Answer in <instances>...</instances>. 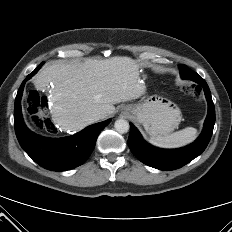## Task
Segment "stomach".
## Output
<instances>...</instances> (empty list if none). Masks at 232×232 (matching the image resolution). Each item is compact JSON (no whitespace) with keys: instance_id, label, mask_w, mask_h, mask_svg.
<instances>
[{"instance_id":"0dacf381","label":"stomach","mask_w":232,"mask_h":232,"mask_svg":"<svg viewBox=\"0 0 232 232\" xmlns=\"http://www.w3.org/2000/svg\"><path fill=\"white\" fill-rule=\"evenodd\" d=\"M123 110L155 136L171 133L182 118L180 109L173 102L158 95L149 96L141 103L125 105Z\"/></svg>"}]
</instances>
